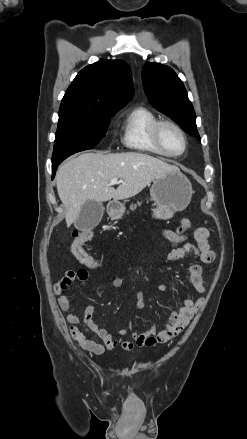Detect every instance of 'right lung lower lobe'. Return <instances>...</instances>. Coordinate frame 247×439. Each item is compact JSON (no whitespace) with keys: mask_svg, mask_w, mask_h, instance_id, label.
<instances>
[{"mask_svg":"<svg viewBox=\"0 0 247 439\" xmlns=\"http://www.w3.org/2000/svg\"><path fill=\"white\" fill-rule=\"evenodd\" d=\"M57 167H58V165L52 166V174H53V176L55 175Z\"/></svg>","mask_w":247,"mask_h":439,"instance_id":"1","label":"right lung lower lobe"}]
</instances>
